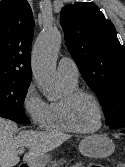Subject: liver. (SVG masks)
<instances>
[{
	"label": "liver",
	"mask_w": 125,
	"mask_h": 167,
	"mask_svg": "<svg viewBox=\"0 0 125 167\" xmlns=\"http://www.w3.org/2000/svg\"><path fill=\"white\" fill-rule=\"evenodd\" d=\"M17 124L0 117V167H13L19 163L17 151L28 147L23 160L30 162L46 154L70 138L68 134L24 130L16 135Z\"/></svg>",
	"instance_id": "obj_1"
}]
</instances>
